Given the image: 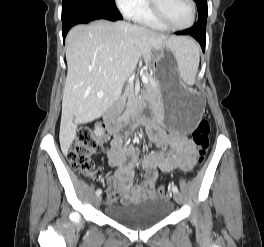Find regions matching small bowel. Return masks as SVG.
I'll return each mask as SVG.
<instances>
[{"mask_svg":"<svg viewBox=\"0 0 264 247\" xmlns=\"http://www.w3.org/2000/svg\"><path fill=\"white\" fill-rule=\"evenodd\" d=\"M164 123L160 114L156 120L147 125V132L153 146L159 150H169L168 155L151 153L140 160V165L146 170L145 180L140 185H134V169L138 161L136 150L124 147L121 138H116L108 152L109 164L115 168L114 176L109 181L116 185L124 195V201L151 199L155 196L157 170L170 172L179 168L189 172L195 165L194 143L185 135L162 128Z\"/></svg>","mask_w":264,"mask_h":247,"instance_id":"1","label":"small bowel"}]
</instances>
